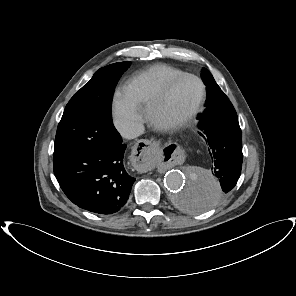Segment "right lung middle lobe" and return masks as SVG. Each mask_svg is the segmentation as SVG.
Masks as SVG:
<instances>
[{
    "mask_svg": "<svg viewBox=\"0 0 296 296\" xmlns=\"http://www.w3.org/2000/svg\"><path fill=\"white\" fill-rule=\"evenodd\" d=\"M129 66L125 61L100 68L71 98L58 125L54 157L111 147L121 141L110 106L115 86Z\"/></svg>",
    "mask_w": 296,
    "mask_h": 296,
    "instance_id": "1",
    "label": "right lung middle lobe"
}]
</instances>
